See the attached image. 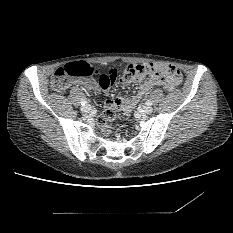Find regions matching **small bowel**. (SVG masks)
Instances as JSON below:
<instances>
[{"mask_svg": "<svg viewBox=\"0 0 233 233\" xmlns=\"http://www.w3.org/2000/svg\"><path fill=\"white\" fill-rule=\"evenodd\" d=\"M162 64V63H154ZM164 72L162 70H158ZM116 70L112 69L105 74H102L98 81L94 79H77L74 83L78 86H82L86 88L88 91H94L97 88L101 89L105 94H107L116 80ZM181 75L180 72L176 69L174 72L167 73L166 75H162L160 77L152 78L144 83H142L139 87L138 92L130 97L126 98L123 96L116 97L114 99H109L105 101L104 108L112 109V108H128L135 106L142 97L147 94L153 87L159 86L164 89H172L175 85H177L180 81ZM134 79L124 80L123 83L125 85H129L134 83Z\"/></svg>", "mask_w": 233, "mask_h": 233, "instance_id": "c3829d8e", "label": "small bowel"}]
</instances>
